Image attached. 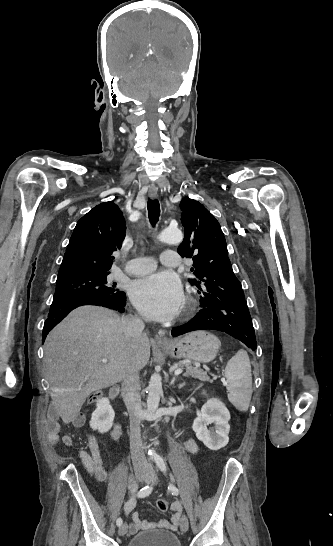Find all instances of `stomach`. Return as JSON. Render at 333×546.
Here are the masks:
<instances>
[{
    "label": "stomach",
    "instance_id": "0dacf381",
    "mask_svg": "<svg viewBox=\"0 0 333 546\" xmlns=\"http://www.w3.org/2000/svg\"><path fill=\"white\" fill-rule=\"evenodd\" d=\"M220 347L219 339L206 331H195L161 348L173 358H185L200 363L214 360Z\"/></svg>",
    "mask_w": 333,
    "mask_h": 546
}]
</instances>
